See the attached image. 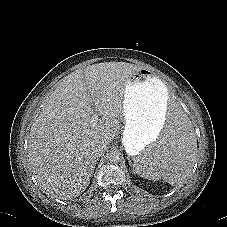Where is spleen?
<instances>
[{"mask_svg":"<svg viewBox=\"0 0 227 227\" xmlns=\"http://www.w3.org/2000/svg\"><path fill=\"white\" fill-rule=\"evenodd\" d=\"M197 140L191 122L179 108L166 114L163 140L142 148L129 160L130 169L150 180L161 177L171 185L185 181L196 162Z\"/></svg>","mask_w":227,"mask_h":227,"instance_id":"obj_1","label":"spleen"}]
</instances>
